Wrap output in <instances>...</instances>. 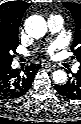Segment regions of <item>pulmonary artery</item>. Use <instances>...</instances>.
<instances>
[{
  "label": "pulmonary artery",
  "mask_w": 81,
  "mask_h": 124,
  "mask_svg": "<svg viewBox=\"0 0 81 124\" xmlns=\"http://www.w3.org/2000/svg\"><path fill=\"white\" fill-rule=\"evenodd\" d=\"M63 26V20L61 16L59 15H51L48 18V28L51 33H58ZM30 54V51H26L24 53V56H28ZM78 69V65L73 66V70L76 71Z\"/></svg>",
  "instance_id": "e3ab8cb5"
}]
</instances>
